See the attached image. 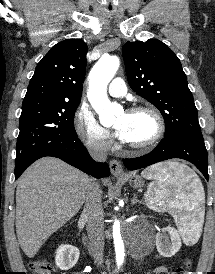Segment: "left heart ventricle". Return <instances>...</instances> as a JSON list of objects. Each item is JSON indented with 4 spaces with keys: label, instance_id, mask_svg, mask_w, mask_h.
<instances>
[{
    "label": "left heart ventricle",
    "instance_id": "left-heart-ventricle-1",
    "mask_svg": "<svg viewBox=\"0 0 215 274\" xmlns=\"http://www.w3.org/2000/svg\"><path fill=\"white\" fill-rule=\"evenodd\" d=\"M124 123V141L128 143H142L150 139L156 130L153 117L145 112L122 113L114 125Z\"/></svg>",
    "mask_w": 215,
    "mask_h": 274
}]
</instances>
